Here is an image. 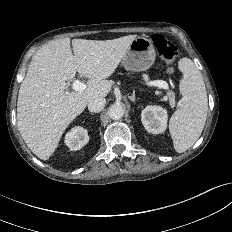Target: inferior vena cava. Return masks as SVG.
<instances>
[{
    "label": "inferior vena cava",
    "mask_w": 232,
    "mask_h": 232,
    "mask_svg": "<svg viewBox=\"0 0 232 232\" xmlns=\"http://www.w3.org/2000/svg\"><path fill=\"white\" fill-rule=\"evenodd\" d=\"M105 104H106L105 98L97 97V98H94V99L90 100V102L88 103V109L91 112L97 113V112L102 111Z\"/></svg>",
    "instance_id": "602c4592"
}]
</instances>
